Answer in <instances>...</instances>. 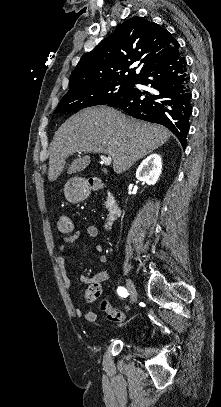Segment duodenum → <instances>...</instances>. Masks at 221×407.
Segmentation results:
<instances>
[{
  "label": "duodenum",
  "mask_w": 221,
  "mask_h": 407,
  "mask_svg": "<svg viewBox=\"0 0 221 407\" xmlns=\"http://www.w3.org/2000/svg\"><path fill=\"white\" fill-rule=\"evenodd\" d=\"M90 188L96 191L104 190L106 188L110 190V195L108 197L109 209L105 220L106 225H110L122 213L120 201L118 197L112 192L113 186H108L104 183H91Z\"/></svg>",
  "instance_id": "obj_1"
}]
</instances>
